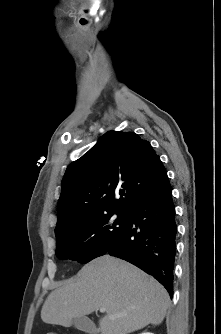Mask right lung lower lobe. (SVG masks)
Wrapping results in <instances>:
<instances>
[{
	"label": "right lung lower lobe",
	"instance_id": "98d812e1",
	"mask_svg": "<svg viewBox=\"0 0 221 334\" xmlns=\"http://www.w3.org/2000/svg\"><path fill=\"white\" fill-rule=\"evenodd\" d=\"M176 234L175 206L167 177L128 212L120 239L105 254L124 259L152 275L172 298Z\"/></svg>",
	"mask_w": 221,
	"mask_h": 334
}]
</instances>
